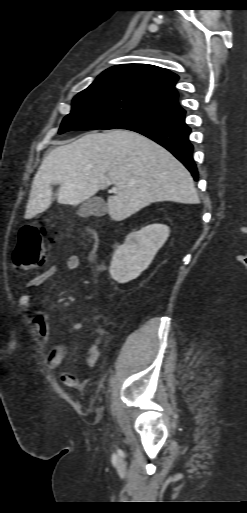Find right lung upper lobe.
I'll return each mask as SVG.
<instances>
[{"label":"right lung upper lobe","instance_id":"1","mask_svg":"<svg viewBox=\"0 0 247 513\" xmlns=\"http://www.w3.org/2000/svg\"><path fill=\"white\" fill-rule=\"evenodd\" d=\"M178 76L167 69L149 64H124L102 72L85 90L114 88L140 94L149 101L171 108L181 109L177 102L175 84Z\"/></svg>","mask_w":247,"mask_h":513}]
</instances>
